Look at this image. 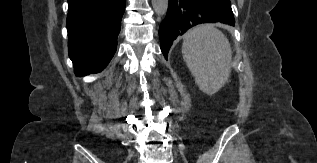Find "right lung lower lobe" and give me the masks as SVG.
Returning a JSON list of instances; mask_svg holds the SVG:
<instances>
[{
    "label": "right lung lower lobe",
    "instance_id": "obj_1",
    "mask_svg": "<svg viewBox=\"0 0 317 163\" xmlns=\"http://www.w3.org/2000/svg\"><path fill=\"white\" fill-rule=\"evenodd\" d=\"M124 0H68V50L77 76L101 72L117 48Z\"/></svg>",
    "mask_w": 317,
    "mask_h": 163
}]
</instances>
